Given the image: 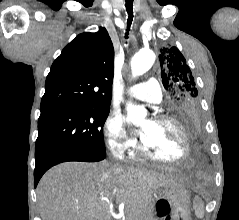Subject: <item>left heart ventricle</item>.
Masks as SVG:
<instances>
[{
    "instance_id": "1",
    "label": "left heart ventricle",
    "mask_w": 239,
    "mask_h": 220,
    "mask_svg": "<svg viewBox=\"0 0 239 220\" xmlns=\"http://www.w3.org/2000/svg\"><path fill=\"white\" fill-rule=\"evenodd\" d=\"M140 126L144 132V144L155 155L177 159L183 154V138L175 125L145 119Z\"/></svg>"
}]
</instances>
